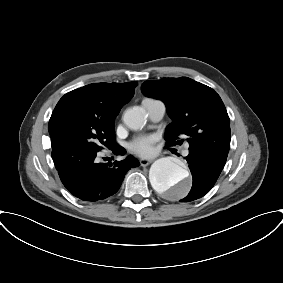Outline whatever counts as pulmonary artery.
<instances>
[{"mask_svg":"<svg viewBox=\"0 0 283 283\" xmlns=\"http://www.w3.org/2000/svg\"><path fill=\"white\" fill-rule=\"evenodd\" d=\"M142 106L146 110L148 117L152 122H159L166 111L165 104L160 100L144 99L142 101ZM188 153V146H186L183 150V154L187 155Z\"/></svg>","mask_w":283,"mask_h":283,"instance_id":"e3ab8cb5","label":"pulmonary artery"}]
</instances>
